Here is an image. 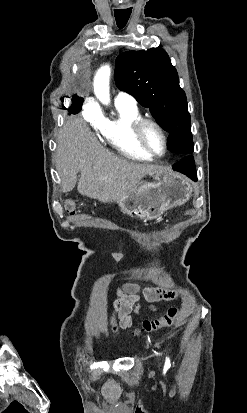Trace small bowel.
Instances as JSON below:
<instances>
[{"label":"small bowel","mask_w":247,"mask_h":413,"mask_svg":"<svg viewBox=\"0 0 247 413\" xmlns=\"http://www.w3.org/2000/svg\"><path fill=\"white\" fill-rule=\"evenodd\" d=\"M117 299L114 302L111 313L110 327L113 333L118 334L121 330L130 328L134 321L132 313L140 310V300L145 298L148 301H171L178 295L169 290L160 288L139 289L138 283L123 282L116 288ZM152 310L155 308L152 307Z\"/></svg>","instance_id":"small-bowel-1"}]
</instances>
